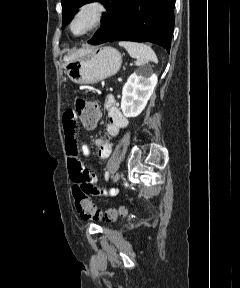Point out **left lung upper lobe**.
<instances>
[{
    "mask_svg": "<svg viewBox=\"0 0 240 288\" xmlns=\"http://www.w3.org/2000/svg\"><path fill=\"white\" fill-rule=\"evenodd\" d=\"M93 1H100L104 6L109 9L111 6V0H62V14H63V22L62 25L65 26L73 17L76 10L86 3H90ZM104 19L102 17L101 21Z\"/></svg>",
    "mask_w": 240,
    "mask_h": 288,
    "instance_id": "left-lung-upper-lobe-1",
    "label": "left lung upper lobe"
}]
</instances>
